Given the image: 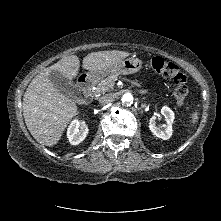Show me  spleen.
Here are the masks:
<instances>
[{"instance_id":"obj_1","label":"spleen","mask_w":221,"mask_h":221,"mask_svg":"<svg viewBox=\"0 0 221 221\" xmlns=\"http://www.w3.org/2000/svg\"><path fill=\"white\" fill-rule=\"evenodd\" d=\"M198 115H199V113H198L197 110H195L194 112H192V113L190 114V118H191L190 123H191V126H192V127H193V126L196 124V122L198 121Z\"/></svg>"}]
</instances>
